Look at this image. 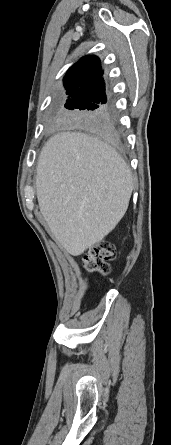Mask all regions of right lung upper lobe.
Masks as SVG:
<instances>
[{"label":"right lung upper lobe","mask_w":171,"mask_h":445,"mask_svg":"<svg viewBox=\"0 0 171 445\" xmlns=\"http://www.w3.org/2000/svg\"><path fill=\"white\" fill-rule=\"evenodd\" d=\"M100 59L85 56L67 71L63 81L66 92L99 96L108 100Z\"/></svg>","instance_id":"right-lung-upper-lobe-1"}]
</instances>
